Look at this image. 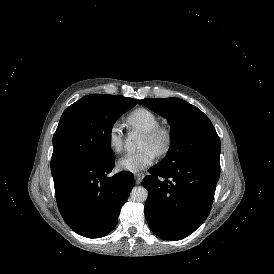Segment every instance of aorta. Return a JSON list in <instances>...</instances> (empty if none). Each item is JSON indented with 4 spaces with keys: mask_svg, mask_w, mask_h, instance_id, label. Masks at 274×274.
I'll return each instance as SVG.
<instances>
[{
    "mask_svg": "<svg viewBox=\"0 0 274 274\" xmlns=\"http://www.w3.org/2000/svg\"><path fill=\"white\" fill-rule=\"evenodd\" d=\"M140 143V135L136 132H130L125 141L128 149H135ZM148 197V191L142 186H136L131 191V198L135 202H144Z\"/></svg>",
    "mask_w": 274,
    "mask_h": 274,
    "instance_id": "obj_1",
    "label": "aorta"
}]
</instances>
